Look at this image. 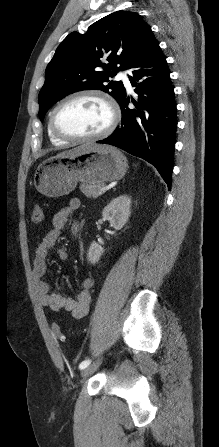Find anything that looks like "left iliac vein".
I'll return each instance as SVG.
<instances>
[{"label": "left iliac vein", "instance_id": "obj_1", "mask_svg": "<svg viewBox=\"0 0 219 447\" xmlns=\"http://www.w3.org/2000/svg\"><path fill=\"white\" fill-rule=\"evenodd\" d=\"M99 365H100V361L87 366L86 368H84L81 371V376L83 378L89 377L90 375H92L98 369Z\"/></svg>", "mask_w": 219, "mask_h": 447}]
</instances>
